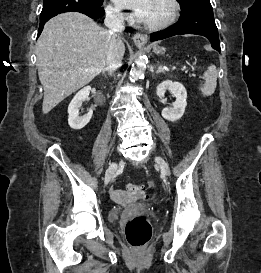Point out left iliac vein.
Masks as SVG:
<instances>
[{
  "instance_id": "1",
  "label": "left iliac vein",
  "mask_w": 261,
  "mask_h": 273,
  "mask_svg": "<svg viewBox=\"0 0 261 273\" xmlns=\"http://www.w3.org/2000/svg\"><path fill=\"white\" fill-rule=\"evenodd\" d=\"M155 162L159 165L162 173L165 176H169L170 175V169L169 166L167 164V162L162 158V157H155Z\"/></svg>"
}]
</instances>
